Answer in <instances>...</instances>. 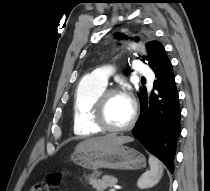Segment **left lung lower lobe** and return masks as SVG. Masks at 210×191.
I'll list each match as a JSON object with an SVG mask.
<instances>
[{"label": "left lung lower lobe", "mask_w": 210, "mask_h": 191, "mask_svg": "<svg viewBox=\"0 0 210 191\" xmlns=\"http://www.w3.org/2000/svg\"><path fill=\"white\" fill-rule=\"evenodd\" d=\"M151 69L156 80L152 90L144 87L139 90L141 114L132 132L173 173L181 111L172 64L166 52Z\"/></svg>", "instance_id": "obj_1"}]
</instances>
